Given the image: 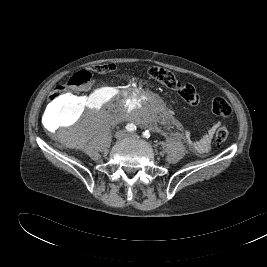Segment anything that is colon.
Returning <instances> with one entry per match:
<instances>
[{
  "mask_svg": "<svg viewBox=\"0 0 267 267\" xmlns=\"http://www.w3.org/2000/svg\"><path fill=\"white\" fill-rule=\"evenodd\" d=\"M114 69L115 65L113 64H102L93 67V70L98 73L111 72ZM146 74L150 79L162 86L177 91L187 104L195 106L199 103L200 96L195 87L188 83H181L171 71L159 66H152L146 69ZM91 80L92 75L89 71H78L70 77L67 84L56 87L50 95V102L58 103L62 99L70 100L69 89L85 87ZM211 109L214 114L224 118L229 117L232 113L230 103L223 97L214 98L211 102ZM228 135V129L225 126H220L215 135L217 143H224Z\"/></svg>",
  "mask_w": 267,
  "mask_h": 267,
  "instance_id": "5ec220e1",
  "label": "colon"
}]
</instances>
